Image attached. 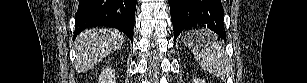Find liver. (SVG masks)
Here are the masks:
<instances>
[{"label":"liver","instance_id":"6515ba94","mask_svg":"<svg viewBox=\"0 0 307 83\" xmlns=\"http://www.w3.org/2000/svg\"><path fill=\"white\" fill-rule=\"evenodd\" d=\"M124 43V34L117 30L101 28L83 31L76 39L75 68L84 73L100 63L108 54Z\"/></svg>","mask_w":307,"mask_h":83}]
</instances>
